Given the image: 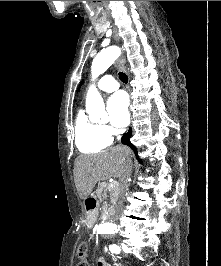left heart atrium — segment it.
I'll return each instance as SVG.
<instances>
[{"mask_svg": "<svg viewBox=\"0 0 221 266\" xmlns=\"http://www.w3.org/2000/svg\"><path fill=\"white\" fill-rule=\"evenodd\" d=\"M129 101L127 95L118 92L112 95L107 102V110L113 126L123 128L129 123Z\"/></svg>", "mask_w": 221, "mask_h": 266, "instance_id": "left-heart-atrium-1", "label": "left heart atrium"}]
</instances>
